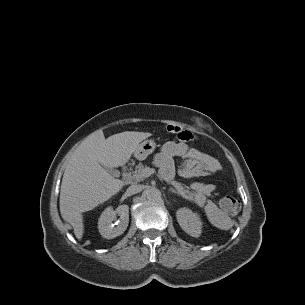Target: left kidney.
<instances>
[{
  "label": "left kidney",
  "instance_id": "5707ae66",
  "mask_svg": "<svg viewBox=\"0 0 305 305\" xmlns=\"http://www.w3.org/2000/svg\"><path fill=\"white\" fill-rule=\"evenodd\" d=\"M176 217L181 228L192 237H199L202 229V222L197 213L190 209L181 208L176 212Z\"/></svg>",
  "mask_w": 305,
  "mask_h": 305
}]
</instances>
